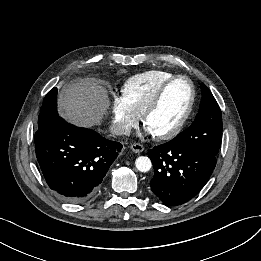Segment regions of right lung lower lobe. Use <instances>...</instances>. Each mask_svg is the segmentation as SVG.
Returning <instances> with one entry per match:
<instances>
[{
	"instance_id": "98d812e1",
	"label": "right lung lower lobe",
	"mask_w": 261,
	"mask_h": 261,
	"mask_svg": "<svg viewBox=\"0 0 261 261\" xmlns=\"http://www.w3.org/2000/svg\"><path fill=\"white\" fill-rule=\"evenodd\" d=\"M122 144L56 117L35 133V151L48 186L63 200L82 203L102 185Z\"/></svg>"
}]
</instances>
